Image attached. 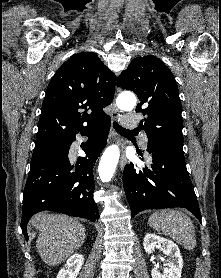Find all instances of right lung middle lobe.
<instances>
[{
    "label": "right lung middle lobe",
    "instance_id": "dd1d6c3e",
    "mask_svg": "<svg viewBox=\"0 0 221 278\" xmlns=\"http://www.w3.org/2000/svg\"><path fill=\"white\" fill-rule=\"evenodd\" d=\"M58 143H59V141H56V142H52V143H48V144H45L42 146L35 147V150L32 155L31 164L39 161L44 156L46 151H48L49 149H51L53 146H55Z\"/></svg>",
    "mask_w": 221,
    "mask_h": 278
}]
</instances>
